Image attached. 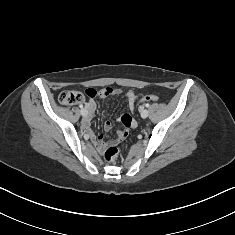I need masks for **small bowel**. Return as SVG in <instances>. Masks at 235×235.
<instances>
[{
	"label": "small bowel",
	"mask_w": 235,
	"mask_h": 235,
	"mask_svg": "<svg viewBox=\"0 0 235 235\" xmlns=\"http://www.w3.org/2000/svg\"><path fill=\"white\" fill-rule=\"evenodd\" d=\"M117 92H118V91L115 90V89H110V93H108V94H106V95H109V94H116ZM106 95H103V96H106ZM137 98H138L137 94H136L134 91H132V90H130V91H128V92L126 93V101H127L128 106H129V109H130L131 111H134V107H135V103H136V101H137ZM85 107H86V109L88 110V112H89L90 115H91V114L95 111V109H96V104H95V102H94L93 100H89L88 102L85 103ZM89 126H90L89 118L83 120V122H82V127H83V129L85 130V132H86L87 134H91V131H90V127H89ZM104 127H105L106 130L111 129V127H112L111 122H110V121H107V122L105 123ZM92 140H93V141L95 142V144H97V145H101V144H102V137H101V136H100V137H94V136H92Z\"/></svg>",
	"instance_id": "c3829d8e"
}]
</instances>
